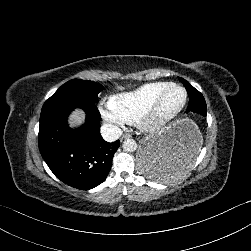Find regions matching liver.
Segmentation results:
<instances>
[{"instance_id": "liver-1", "label": "liver", "mask_w": 251, "mask_h": 251, "mask_svg": "<svg viewBox=\"0 0 251 251\" xmlns=\"http://www.w3.org/2000/svg\"><path fill=\"white\" fill-rule=\"evenodd\" d=\"M86 120L87 112L83 108L75 106L68 112L65 124L71 131H80L86 127Z\"/></svg>"}]
</instances>
